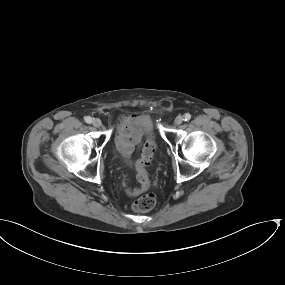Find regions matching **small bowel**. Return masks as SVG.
I'll return each instance as SVG.
<instances>
[{
	"instance_id": "obj_1",
	"label": "small bowel",
	"mask_w": 285,
	"mask_h": 285,
	"mask_svg": "<svg viewBox=\"0 0 285 285\" xmlns=\"http://www.w3.org/2000/svg\"><path fill=\"white\" fill-rule=\"evenodd\" d=\"M136 118H138V116L122 115L121 123L117 129V148L124 157L130 155L133 145L139 143L140 134L132 135V132L129 130L131 121ZM143 191L141 188H135L133 190H127V194L135 197L143 193Z\"/></svg>"
}]
</instances>
